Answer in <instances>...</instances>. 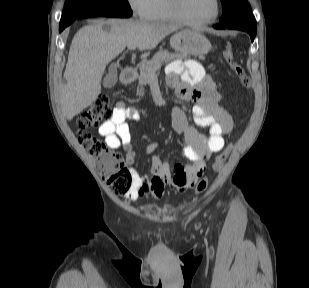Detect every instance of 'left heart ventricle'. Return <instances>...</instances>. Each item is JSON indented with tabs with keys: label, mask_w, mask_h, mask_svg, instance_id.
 <instances>
[{
	"label": "left heart ventricle",
	"mask_w": 309,
	"mask_h": 288,
	"mask_svg": "<svg viewBox=\"0 0 309 288\" xmlns=\"http://www.w3.org/2000/svg\"><path fill=\"white\" fill-rule=\"evenodd\" d=\"M183 15L192 21H201L213 15L214 0H181Z\"/></svg>",
	"instance_id": "1"
}]
</instances>
